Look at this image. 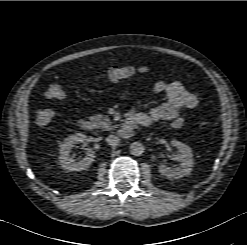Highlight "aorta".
Masks as SVG:
<instances>
[{
	"mask_svg": "<svg viewBox=\"0 0 247 245\" xmlns=\"http://www.w3.org/2000/svg\"><path fill=\"white\" fill-rule=\"evenodd\" d=\"M144 145L141 142L135 141L130 145V153L134 156H140L144 153Z\"/></svg>",
	"mask_w": 247,
	"mask_h": 245,
	"instance_id": "762f6f07",
	"label": "aorta"
}]
</instances>
